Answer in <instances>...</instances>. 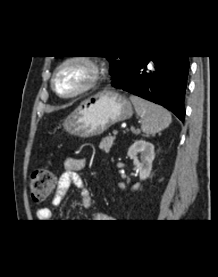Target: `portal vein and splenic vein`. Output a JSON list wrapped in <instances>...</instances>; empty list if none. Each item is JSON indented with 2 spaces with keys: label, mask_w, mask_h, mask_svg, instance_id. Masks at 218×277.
I'll list each match as a JSON object with an SVG mask.
<instances>
[{
  "label": "portal vein and splenic vein",
  "mask_w": 218,
  "mask_h": 277,
  "mask_svg": "<svg viewBox=\"0 0 218 277\" xmlns=\"http://www.w3.org/2000/svg\"><path fill=\"white\" fill-rule=\"evenodd\" d=\"M132 130H133V128H132ZM117 134H118V131L114 130V131H113V135L115 136V135H117Z\"/></svg>",
  "instance_id": "18ae733b"
}]
</instances>
